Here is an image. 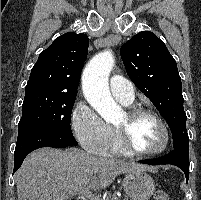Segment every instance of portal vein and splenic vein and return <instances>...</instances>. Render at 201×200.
<instances>
[{"instance_id": "1", "label": "portal vein and splenic vein", "mask_w": 201, "mask_h": 200, "mask_svg": "<svg viewBox=\"0 0 201 200\" xmlns=\"http://www.w3.org/2000/svg\"><path fill=\"white\" fill-rule=\"evenodd\" d=\"M79 195L85 197L86 199L89 200H100L99 197L95 196L93 193H91L88 189H85L82 193ZM85 199V200H86Z\"/></svg>"}]
</instances>
